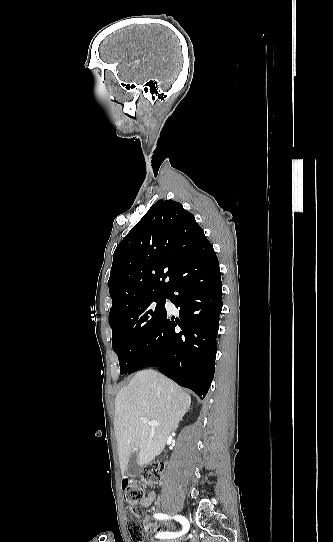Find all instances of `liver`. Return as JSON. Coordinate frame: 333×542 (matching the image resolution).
I'll use <instances>...</instances> for the list:
<instances>
[{"label":"liver","mask_w":333,"mask_h":542,"mask_svg":"<svg viewBox=\"0 0 333 542\" xmlns=\"http://www.w3.org/2000/svg\"><path fill=\"white\" fill-rule=\"evenodd\" d=\"M190 404L189 394L162 374L154 370L135 374L115 398L114 430L122 476L127 474L133 452H137L139 466L160 456ZM140 418L158 420L159 426L143 424Z\"/></svg>","instance_id":"obj_1"}]
</instances>
